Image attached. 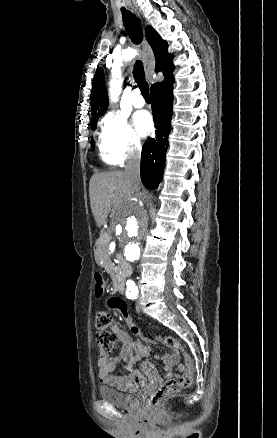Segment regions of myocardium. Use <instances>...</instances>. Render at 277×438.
I'll list each match as a JSON object with an SVG mask.
<instances>
[{"instance_id": "obj_1", "label": "myocardium", "mask_w": 277, "mask_h": 438, "mask_svg": "<svg viewBox=\"0 0 277 438\" xmlns=\"http://www.w3.org/2000/svg\"><path fill=\"white\" fill-rule=\"evenodd\" d=\"M137 50H143V49H141V48L137 47Z\"/></svg>"}]
</instances>
